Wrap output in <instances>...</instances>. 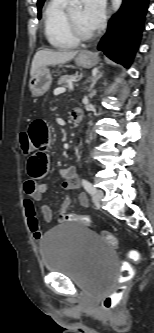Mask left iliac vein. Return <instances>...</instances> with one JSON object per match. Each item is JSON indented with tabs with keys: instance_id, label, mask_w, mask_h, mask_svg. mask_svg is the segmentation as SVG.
<instances>
[{
	"instance_id": "4c4485c4",
	"label": "left iliac vein",
	"mask_w": 154,
	"mask_h": 333,
	"mask_svg": "<svg viewBox=\"0 0 154 333\" xmlns=\"http://www.w3.org/2000/svg\"><path fill=\"white\" fill-rule=\"evenodd\" d=\"M103 195H104V193H103L102 190L96 189L95 192L92 195L93 202L96 205H100L101 201H102V198H103Z\"/></svg>"
}]
</instances>
